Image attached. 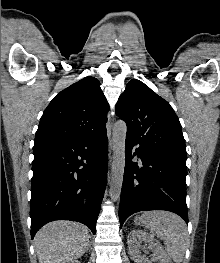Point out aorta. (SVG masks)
Returning <instances> with one entry per match:
<instances>
[{
    "label": "aorta",
    "instance_id": "762f6f07",
    "mask_svg": "<svg viewBox=\"0 0 220 263\" xmlns=\"http://www.w3.org/2000/svg\"><path fill=\"white\" fill-rule=\"evenodd\" d=\"M127 126L122 120L117 121L113 126V162L110 182V196L113 201L119 199L123 183L125 167V140Z\"/></svg>",
    "mask_w": 220,
    "mask_h": 263
}]
</instances>
